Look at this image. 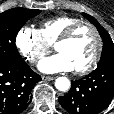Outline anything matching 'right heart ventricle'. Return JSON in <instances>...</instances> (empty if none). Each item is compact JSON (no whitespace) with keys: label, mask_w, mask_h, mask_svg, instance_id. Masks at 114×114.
Segmentation results:
<instances>
[{"label":"right heart ventricle","mask_w":114,"mask_h":114,"mask_svg":"<svg viewBox=\"0 0 114 114\" xmlns=\"http://www.w3.org/2000/svg\"><path fill=\"white\" fill-rule=\"evenodd\" d=\"M80 21L79 18L68 15L56 16L41 23L38 31L44 40L52 45L58 37L72 24Z\"/></svg>","instance_id":"right-heart-ventricle-1"}]
</instances>
